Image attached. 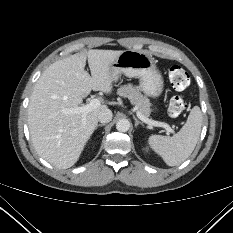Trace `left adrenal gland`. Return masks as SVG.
<instances>
[{
	"instance_id": "obj_1",
	"label": "left adrenal gland",
	"mask_w": 233,
	"mask_h": 233,
	"mask_svg": "<svg viewBox=\"0 0 233 233\" xmlns=\"http://www.w3.org/2000/svg\"><path fill=\"white\" fill-rule=\"evenodd\" d=\"M139 124L143 126V123L137 120V118H135V127L137 128Z\"/></svg>"
}]
</instances>
